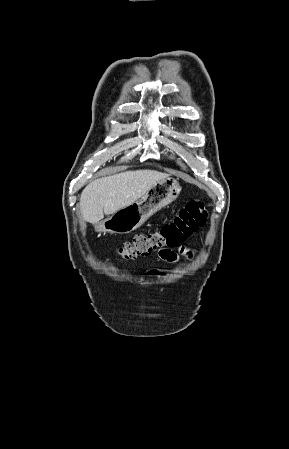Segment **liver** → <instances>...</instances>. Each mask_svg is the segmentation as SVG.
Wrapping results in <instances>:
<instances>
[{
	"instance_id": "liver-1",
	"label": "liver",
	"mask_w": 289,
	"mask_h": 449,
	"mask_svg": "<svg viewBox=\"0 0 289 449\" xmlns=\"http://www.w3.org/2000/svg\"><path fill=\"white\" fill-rule=\"evenodd\" d=\"M168 177L154 170L126 171L89 183L81 193L80 210L83 220L98 224L140 199L153 185Z\"/></svg>"
}]
</instances>
